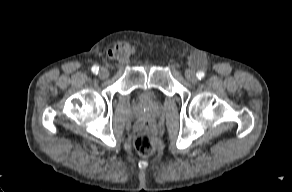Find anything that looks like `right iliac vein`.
Returning <instances> with one entry per match:
<instances>
[{"label": "right iliac vein", "instance_id": "obj_1", "mask_svg": "<svg viewBox=\"0 0 292 192\" xmlns=\"http://www.w3.org/2000/svg\"><path fill=\"white\" fill-rule=\"evenodd\" d=\"M109 76V71L105 68H101L100 71H99V77L101 79H105Z\"/></svg>", "mask_w": 292, "mask_h": 192}]
</instances>
